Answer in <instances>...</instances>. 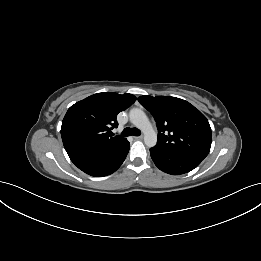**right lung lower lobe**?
Returning <instances> with one entry per match:
<instances>
[{
  "label": "right lung lower lobe",
  "mask_w": 261,
  "mask_h": 261,
  "mask_svg": "<svg viewBox=\"0 0 261 261\" xmlns=\"http://www.w3.org/2000/svg\"><path fill=\"white\" fill-rule=\"evenodd\" d=\"M130 144L128 141L116 146L78 147L67 151L71 161L80 170L95 177L115 172L125 160Z\"/></svg>",
  "instance_id": "1"
}]
</instances>
